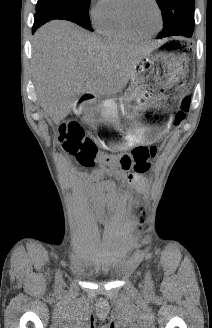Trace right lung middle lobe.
Masks as SVG:
<instances>
[{
  "label": "right lung middle lobe",
  "instance_id": "right-lung-middle-lobe-1",
  "mask_svg": "<svg viewBox=\"0 0 212 328\" xmlns=\"http://www.w3.org/2000/svg\"><path fill=\"white\" fill-rule=\"evenodd\" d=\"M90 2L91 0H38L35 18L47 22L52 19H65L93 31L88 13Z\"/></svg>",
  "mask_w": 212,
  "mask_h": 328
}]
</instances>
